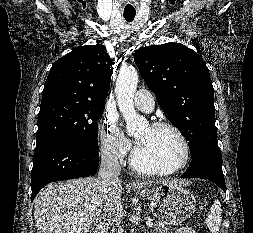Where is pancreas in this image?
<instances>
[{
  "label": "pancreas",
  "instance_id": "1",
  "mask_svg": "<svg viewBox=\"0 0 253 233\" xmlns=\"http://www.w3.org/2000/svg\"><path fill=\"white\" fill-rule=\"evenodd\" d=\"M171 228L172 227H170V226H164V225L156 222L153 229H152V232L153 233H172ZM113 233H123L122 227L119 224H117L113 228Z\"/></svg>",
  "mask_w": 253,
  "mask_h": 233
}]
</instances>
